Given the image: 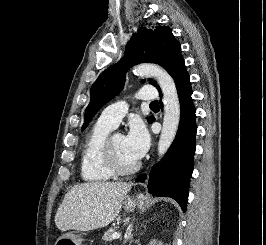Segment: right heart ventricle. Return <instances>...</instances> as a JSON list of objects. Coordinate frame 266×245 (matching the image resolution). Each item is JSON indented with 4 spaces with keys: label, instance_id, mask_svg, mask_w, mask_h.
I'll return each mask as SVG.
<instances>
[{
    "label": "right heart ventricle",
    "instance_id": "right-heart-ventricle-1",
    "mask_svg": "<svg viewBox=\"0 0 266 245\" xmlns=\"http://www.w3.org/2000/svg\"><path fill=\"white\" fill-rule=\"evenodd\" d=\"M113 126L97 120L86 135L80 162V175L84 182L94 185L108 183L114 179L102 161V149Z\"/></svg>",
    "mask_w": 266,
    "mask_h": 245
}]
</instances>
